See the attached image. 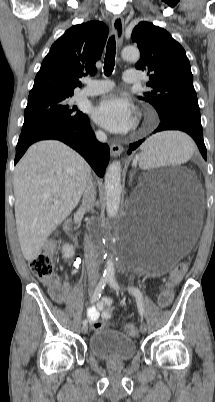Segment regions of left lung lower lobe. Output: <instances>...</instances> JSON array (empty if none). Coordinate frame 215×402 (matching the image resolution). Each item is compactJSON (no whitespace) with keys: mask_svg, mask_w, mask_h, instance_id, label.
<instances>
[{"mask_svg":"<svg viewBox=\"0 0 215 402\" xmlns=\"http://www.w3.org/2000/svg\"><path fill=\"white\" fill-rule=\"evenodd\" d=\"M165 130H181L188 133L195 140L203 158L207 160L206 147L203 140L200 121L177 114L160 117V124L153 133ZM144 140L145 138L130 144V150L128 153L130 154L132 150H135L142 142H144Z\"/></svg>","mask_w":215,"mask_h":402,"instance_id":"1","label":"left lung lower lobe"}]
</instances>
